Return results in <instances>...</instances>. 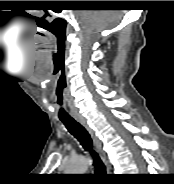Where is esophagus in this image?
Returning a JSON list of instances; mask_svg holds the SVG:
<instances>
[{"instance_id":"obj_1","label":"esophagus","mask_w":174,"mask_h":184,"mask_svg":"<svg viewBox=\"0 0 174 184\" xmlns=\"http://www.w3.org/2000/svg\"><path fill=\"white\" fill-rule=\"evenodd\" d=\"M76 120L87 130V132L91 136V138L96 146V149H97L101 159L103 160V162L105 164H107V156L103 150L102 142L100 141V139L98 138V136L96 135L94 130L90 127V125L87 123V121L83 117L77 116Z\"/></svg>"}]
</instances>
